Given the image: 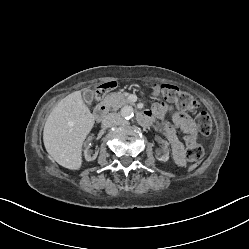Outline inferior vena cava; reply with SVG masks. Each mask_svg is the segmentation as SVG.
<instances>
[{
	"mask_svg": "<svg viewBox=\"0 0 249 249\" xmlns=\"http://www.w3.org/2000/svg\"><path fill=\"white\" fill-rule=\"evenodd\" d=\"M123 119L122 117L117 113H110L105 116V118L102 120V127L103 128H109L113 126H117L122 124Z\"/></svg>",
	"mask_w": 249,
	"mask_h": 249,
	"instance_id": "602c4592",
	"label": "inferior vena cava"
}]
</instances>
